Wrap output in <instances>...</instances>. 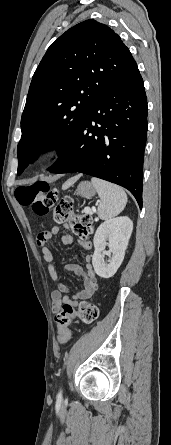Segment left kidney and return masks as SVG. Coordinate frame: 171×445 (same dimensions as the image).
Returning a JSON list of instances; mask_svg holds the SVG:
<instances>
[{
    "label": "left kidney",
    "mask_w": 171,
    "mask_h": 445,
    "mask_svg": "<svg viewBox=\"0 0 171 445\" xmlns=\"http://www.w3.org/2000/svg\"><path fill=\"white\" fill-rule=\"evenodd\" d=\"M132 230L133 222L127 216L106 220L97 228L93 239L95 251L92 264L98 276L107 279L117 272L123 262ZM106 245L112 253L108 263L104 262Z\"/></svg>",
    "instance_id": "1"
}]
</instances>
